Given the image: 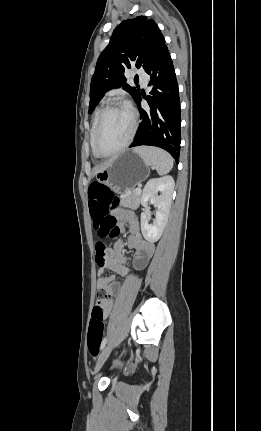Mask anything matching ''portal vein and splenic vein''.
Segmentation results:
<instances>
[{"instance_id": "18ae733b", "label": "portal vein and splenic vein", "mask_w": 261, "mask_h": 431, "mask_svg": "<svg viewBox=\"0 0 261 431\" xmlns=\"http://www.w3.org/2000/svg\"><path fill=\"white\" fill-rule=\"evenodd\" d=\"M136 192H137V193H141V186H138V187L136 188Z\"/></svg>"}]
</instances>
